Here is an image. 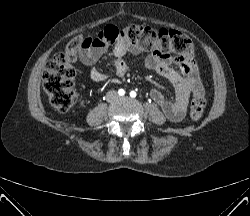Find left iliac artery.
I'll list each match as a JSON object with an SVG mask.
<instances>
[{"mask_svg":"<svg viewBox=\"0 0 250 216\" xmlns=\"http://www.w3.org/2000/svg\"><path fill=\"white\" fill-rule=\"evenodd\" d=\"M130 96H131L132 98L136 97V92H135V91H131V92H130Z\"/></svg>","mask_w":250,"mask_h":216,"instance_id":"left-iliac-artery-1","label":"left iliac artery"}]
</instances>
